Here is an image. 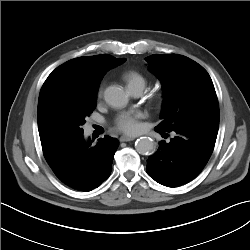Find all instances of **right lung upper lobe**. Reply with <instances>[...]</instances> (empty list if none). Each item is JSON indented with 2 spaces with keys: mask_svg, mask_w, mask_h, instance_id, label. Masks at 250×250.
Instances as JSON below:
<instances>
[{
  "mask_svg": "<svg viewBox=\"0 0 250 250\" xmlns=\"http://www.w3.org/2000/svg\"><path fill=\"white\" fill-rule=\"evenodd\" d=\"M125 58L110 55L79 57L57 67L44 82L38 100V130L41 142L48 139L54 117L75 100L97 95L105 73Z\"/></svg>",
  "mask_w": 250,
  "mask_h": 250,
  "instance_id": "cb5924a9",
  "label": "right lung upper lobe"
}]
</instances>
